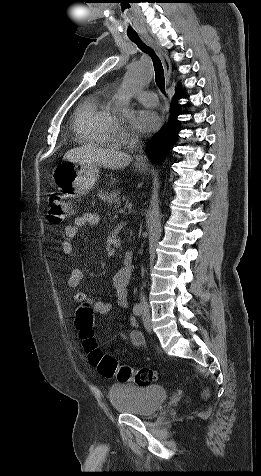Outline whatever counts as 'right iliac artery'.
<instances>
[{
    "mask_svg": "<svg viewBox=\"0 0 261 476\" xmlns=\"http://www.w3.org/2000/svg\"><path fill=\"white\" fill-rule=\"evenodd\" d=\"M133 313L136 315V316H141L143 314V307L142 305L140 304H136L134 307H133Z\"/></svg>",
    "mask_w": 261,
    "mask_h": 476,
    "instance_id": "82829eb1",
    "label": "right iliac artery"
}]
</instances>
